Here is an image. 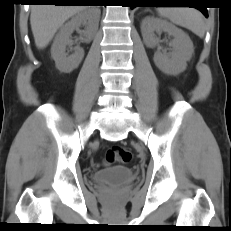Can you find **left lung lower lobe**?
<instances>
[{"instance_id": "obj_1", "label": "left lung lower lobe", "mask_w": 231, "mask_h": 231, "mask_svg": "<svg viewBox=\"0 0 231 231\" xmlns=\"http://www.w3.org/2000/svg\"><path fill=\"white\" fill-rule=\"evenodd\" d=\"M134 2L140 4L138 6H141V7H155L157 6L158 3H164L162 2V0H134ZM196 5H198L196 8L199 9L206 17H208L206 7H199V6H202L203 4H196Z\"/></svg>"}]
</instances>
